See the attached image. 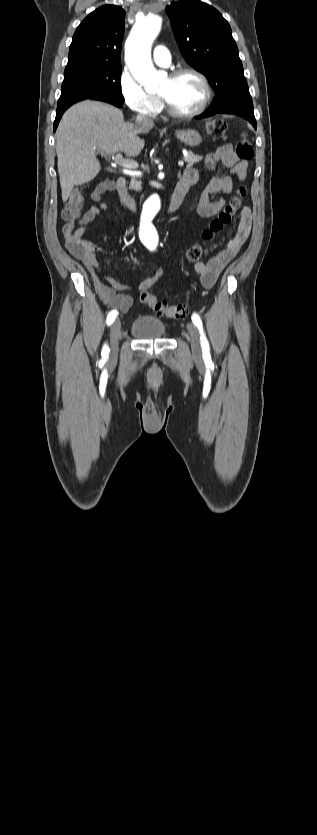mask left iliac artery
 Here are the masks:
<instances>
[{
  "label": "left iliac artery",
  "instance_id": "obj_1",
  "mask_svg": "<svg viewBox=\"0 0 317 835\" xmlns=\"http://www.w3.org/2000/svg\"><path fill=\"white\" fill-rule=\"evenodd\" d=\"M192 321L200 332V340H201V347H202V351H203V358H204L205 361L210 362L211 361V355H210L209 344H208L207 338H206V336L204 334V331H203L202 321H201V319H200V317L197 313H193Z\"/></svg>",
  "mask_w": 317,
  "mask_h": 835
}]
</instances>
